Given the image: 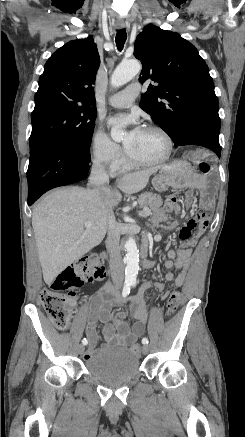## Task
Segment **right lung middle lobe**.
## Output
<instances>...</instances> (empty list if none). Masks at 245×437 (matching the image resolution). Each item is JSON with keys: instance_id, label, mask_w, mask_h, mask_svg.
Masks as SVG:
<instances>
[{"instance_id": "obj_1", "label": "right lung middle lobe", "mask_w": 245, "mask_h": 437, "mask_svg": "<svg viewBox=\"0 0 245 437\" xmlns=\"http://www.w3.org/2000/svg\"><path fill=\"white\" fill-rule=\"evenodd\" d=\"M97 116L96 108L52 102L35 106L31 113L30 152L45 142L70 150L89 149Z\"/></svg>"}]
</instances>
